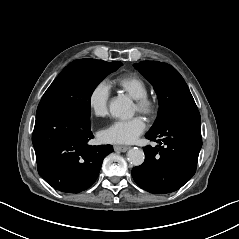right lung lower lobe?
I'll return each mask as SVG.
<instances>
[{"label": "right lung lower lobe", "instance_id": "right-lung-lower-lobe-1", "mask_svg": "<svg viewBox=\"0 0 239 239\" xmlns=\"http://www.w3.org/2000/svg\"><path fill=\"white\" fill-rule=\"evenodd\" d=\"M90 116L76 107L58 106L36 115L32 143L39 175L54 189L79 193L97 179L111 145L92 146Z\"/></svg>", "mask_w": 239, "mask_h": 239}]
</instances>
